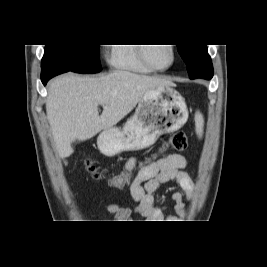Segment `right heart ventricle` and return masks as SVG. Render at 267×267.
Instances as JSON below:
<instances>
[{"mask_svg": "<svg viewBox=\"0 0 267 267\" xmlns=\"http://www.w3.org/2000/svg\"><path fill=\"white\" fill-rule=\"evenodd\" d=\"M135 45L137 44H113L108 54V63L111 68L136 73H152L153 70L141 59L140 46Z\"/></svg>", "mask_w": 267, "mask_h": 267, "instance_id": "1", "label": "right heart ventricle"}]
</instances>
